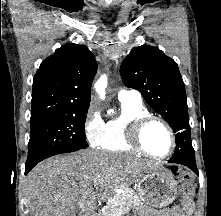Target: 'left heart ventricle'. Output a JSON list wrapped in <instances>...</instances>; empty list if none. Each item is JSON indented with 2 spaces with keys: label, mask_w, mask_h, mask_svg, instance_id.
<instances>
[{
  "label": "left heart ventricle",
  "mask_w": 221,
  "mask_h": 216,
  "mask_svg": "<svg viewBox=\"0 0 221 216\" xmlns=\"http://www.w3.org/2000/svg\"><path fill=\"white\" fill-rule=\"evenodd\" d=\"M143 141L147 150L156 155L166 154L171 147V139L166 128L157 122L146 128Z\"/></svg>",
  "instance_id": "left-heart-ventricle-1"
}]
</instances>
